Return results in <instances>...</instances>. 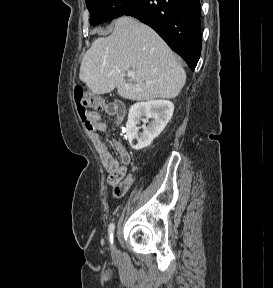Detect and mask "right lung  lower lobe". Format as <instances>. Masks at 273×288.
<instances>
[{
    "label": "right lung lower lobe",
    "instance_id": "obj_1",
    "mask_svg": "<svg viewBox=\"0 0 273 288\" xmlns=\"http://www.w3.org/2000/svg\"><path fill=\"white\" fill-rule=\"evenodd\" d=\"M123 15L152 27L195 69L201 53L199 0H135Z\"/></svg>",
    "mask_w": 273,
    "mask_h": 288
}]
</instances>
